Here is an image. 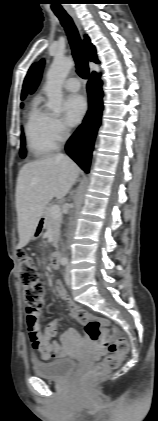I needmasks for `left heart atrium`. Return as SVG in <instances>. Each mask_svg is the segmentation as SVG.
<instances>
[{
	"label": "left heart atrium",
	"mask_w": 158,
	"mask_h": 421,
	"mask_svg": "<svg viewBox=\"0 0 158 421\" xmlns=\"http://www.w3.org/2000/svg\"><path fill=\"white\" fill-rule=\"evenodd\" d=\"M65 120L70 125H77L87 111V104L83 96L72 94L63 103Z\"/></svg>",
	"instance_id": "left-heart-atrium-1"
}]
</instances>
